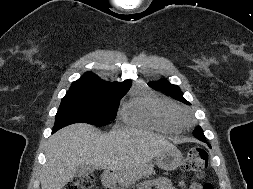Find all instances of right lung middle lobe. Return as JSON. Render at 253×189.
Returning <instances> with one entry per match:
<instances>
[{
    "instance_id": "dd1d6c3e",
    "label": "right lung middle lobe",
    "mask_w": 253,
    "mask_h": 189,
    "mask_svg": "<svg viewBox=\"0 0 253 189\" xmlns=\"http://www.w3.org/2000/svg\"><path fill=\"white\" fill-rule=\"evenodd\" d=\"M128 90L67 91L55 116L54 129L88 123L105 126L116 118L120 99Z\"/></svg>"
}]
</instances>
